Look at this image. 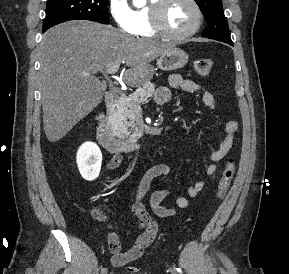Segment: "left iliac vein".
<instances>
[{"mask_svg": "<svg viewBox=\"0 0 289 274\" xmlns=\"http://www.w3.org/2000/svg\"><path fill=\"white\" fill-rule=\"evenodd\" d=\"M170 272H171V274H177L175 269H171Z\"/></svg>", "mask_w": 289, "mask_h": 274, "instance_id": "left-iliac-vein-1", "label": "left iliac vein"}]
</instances>
